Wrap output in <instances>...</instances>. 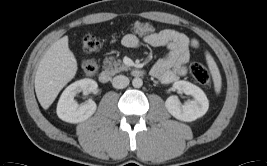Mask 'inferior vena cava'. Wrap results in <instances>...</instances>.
<instances>
[{
  "label": "inferior vena cava",
  "instance_id": "obj_1",
  "mask_svg": "<svg viewBox=\"0 0 267 166\" xmlns=\"http://www.w3.org/2000/svg\"><path fill=\"white\" fill-rule=\"evenodd\" d=\"M128 84H129V79H128V77H126L124 75L115 76L112 80L113 87L117 88V89H123V88L127 87Z\"/></svg>",
  "mask_w": 267,
  "mask_h": 166
}]
</instances>
